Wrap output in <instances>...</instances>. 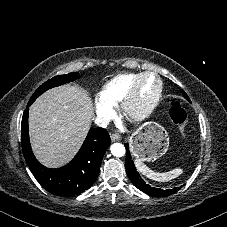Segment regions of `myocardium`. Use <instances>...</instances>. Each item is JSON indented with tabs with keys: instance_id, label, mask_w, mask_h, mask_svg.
<instances>
[{
	"instance_id": "myocardium-1",
	"label": "myocardium",
	"mask_w": 227,
	"mask_h": 227,
	"mask_svg": "<svg viewBox=\"0 0 227 227\" xmlns=\"http://www.w3.org/2000/svg\"><path fill=\"white\" fill-rule=\"evenodd\" d=\"M146 78H152L156 82V90L153 96L145 103H140L139 93L142 82ZM163 92L161 79L156 73L143 72L133 82L126 97L122 100L120 109L122 116L130 122H141L146 119L158 105Z\"/></svg>"
}]
</instances>
